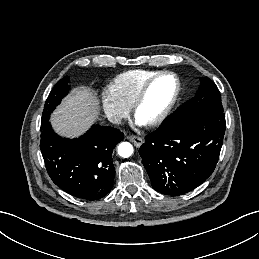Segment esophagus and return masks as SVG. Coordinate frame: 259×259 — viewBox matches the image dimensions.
<instances>
[{"label":"esophagus","mask_w":259,"mask_h":259,"mask_svg":"<svg viewBox=\"0 0 259 259\" xmlns=\"http://www.w3.org/2000/svg\"><path fill=\"white\" fill-rule=\"evenodd\" d=\"M127 138L133 142L136 147H140L143 143V139L135 135H129Z\"/></svg>","instance_id":"34e87169"}]
</instances>
